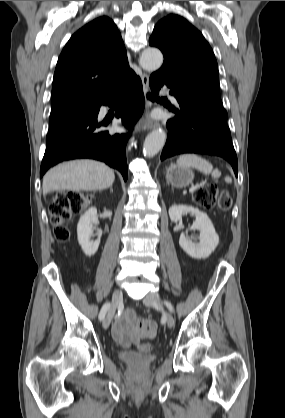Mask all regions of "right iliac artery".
<instances>
[{
    "label": "right iliac artery",
    "instance_id": "right-iliac-artery-1",
    "mask_svg": "<svg viewBox=\"0 0 285 418\" xmlns=\"http://www.w3.org/2000/svg\"><path fill=\"white\" fill-rule=\"evenodd\" d=\"M109 308H110V302H106V303L103 305V307H102V309H101V311H100V313H99V320H100V321H102V320L104 319L105 314H106V312L109 310ZM118 316H120V314H119V313H118Z\"/></svg>",
    "mask_w": 285,
    "mask_h": 418
}]
</instances>
